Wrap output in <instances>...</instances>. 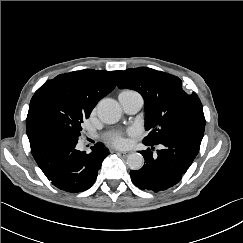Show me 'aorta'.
Wrapping results in <instances>:
<instances>
[{
	"instance_id": "1",
	"label": "aorta",
	"mask_w": 243,
	"mask_h": 243,
	"mask_svg": "<svg viewBox=\"0 0 243 243\" xmlns=\"http://www.w3.org/2000/svg\"><path fill=\"white\" fill-rule=\"evenodd\" d=\"M97 114L99 119L106 124H114L122 117V109L113 99H103L98 103ZM144 158L140 153L134 152L128 155L127 165L131 170H139L143 167Z\"/></svg>"
}]
</instances>
